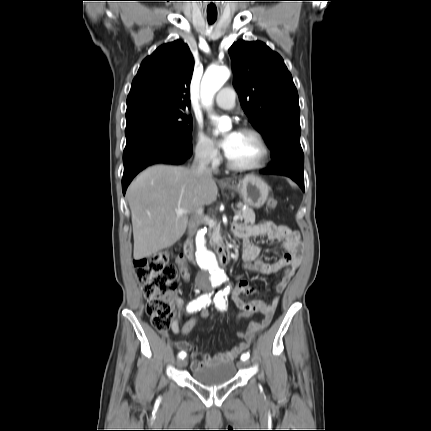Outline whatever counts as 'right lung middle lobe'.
Listing matches in <instances>:
<instances>
[{"mask_svg": "<svg viewBox=\"0 0 431 431\" xmlns=\"http://www.w3.org/2000/svg\"><path fill=\"white\" fill-rule=\"evenodd\" d=\"M192 118L182 111L151 112L126 119L125 135L130 140L146 133H162L191 143Z\"/></svg>", "mask_w": 431, "mask_h": 431, "instance_id": "1", "label": "right lung middle lobe"}]
</instances>
